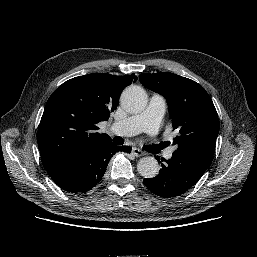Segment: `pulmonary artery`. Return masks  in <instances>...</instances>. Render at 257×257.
Masks as SVG:
<instances>
[{
	"mask_svg": "<svg viewBox=\"0 0 257 257\" xmlns=\"http://www.w3.org/2000/svg\"><path fill=\"white\" fill-rule=\"evenodd\" d=\"M166 111V100L159 94H153L147 107L140 113L131 115L125 119L114 121L112 130L118 135L132 136L139 132L146 131L154 133ZM175 148L165 151V158L173 156Z\"/></svg>",
	"mask_w": 257,
	"mask_h": 257,
	"instance_id": "pulmonary-artery-1",
	"label": "pulmonary artery"
}]
</instances>
